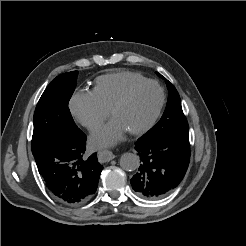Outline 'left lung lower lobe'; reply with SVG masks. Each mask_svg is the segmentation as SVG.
<instances>
[{"mask_svg":"<svg viewBox=\"0 0 246 246\" xmlns=\"http://www.w3.org/2000/svg\"><path fill=\"white\" fill-rule=\"evenodd\" d=\"M141 165L132 177V188L142 197L167 195L183 179L190 160L189 133H168L155 138L142 136L136 143Z\"/></svg>","mask_w":246,"mask_h":246,"instance_id":"left-lung-lower-lobe-1","label":"left lung lower lobe"}]
</instances>
